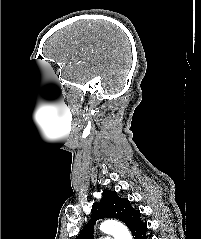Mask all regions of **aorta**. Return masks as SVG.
<instances>
[{
    "instance_id": "aorta-1",
    "label": "aorta",
    "mask_w": 201,
    "mask_h": 239,
    "mask_svg": "<svg viewBox=\"0 0 201 239\" xmlns=\"http://www.w3.org/2000/svg\"><path fill=\"white\" fill-rule=\"evenodd\" d=\"M100 230L103 233L112 235L114 239H132L128 228L117 220H105L101 223Z\"/></svg>"
}]
</instances>
